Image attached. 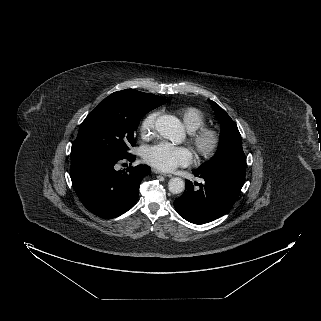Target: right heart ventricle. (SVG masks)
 Returning a JSON list of instances; mask_svg holds the SVG:
<instances>
[{"label": "right heart ventricle", "instance_id": "right-heart-ventricle-1", "mask_svg": "<svg viewBox=\"0 0 321 321\" xmlns=\"http://www.w3.org/2000/svg\"><path fill=\"white\" fill-rule=\"evenodd\" d=\"M177 113L182 119L184 126L190 133L205 126L207 122L205 114L200 109L193 106L181 108L177 111Z\"/></svg>", "mask_w": 321, "mask_h": 321}]
</instances>
